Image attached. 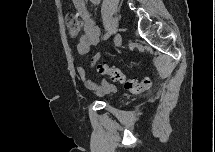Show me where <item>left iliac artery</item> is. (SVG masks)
<instances>
[{"mask_svg": "<svg viewBox=\"0 0 215 152\" xmlns=\"http://www.w3.org/2000/svg\"><path fill=\"white\" fill-rule=\"evenodd\" d=\"M110 35H111L110 32L106 33V34L104 35L103 39H104V40L108 39V38L110 37Z\"/></svg>", "mask_w": 215, "mask_h": 152, "instance_id": "left-iliac-artery-1", "label": "left iliac artery"}]
</instances>
